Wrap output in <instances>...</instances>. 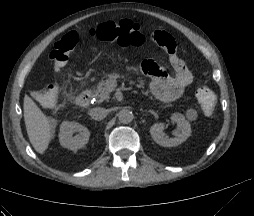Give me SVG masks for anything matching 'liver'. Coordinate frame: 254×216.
<instances>
[{"mask_svg": "<svg viewBox=\"0 0 254 216\" xmlns=\"http://www.w3.org/2000/svg\"><path fill=\"white\" fill-rule=\"evenodd\" d=\"M23 109L29 140L34 149L43 154L52 139L56 121L47 117L28 95L24 97Z\"/></svg>", "mask_w": 254, "mask_h": 216, "instance_id": "1", "label": "liver"}]
</instances>
